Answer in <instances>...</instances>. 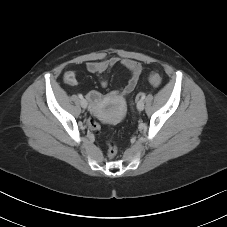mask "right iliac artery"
<instances>
[{
	"instance_id": "obj_1",
	"label": "right iliac artery",
	"mask_w": 227,
	"mask_h": 227,
	"mask_svg": "<svg viewBox=\"0 0 227 227\" xmlns=\"http://www.w3.org/2000/svg\"><path fill=\"white\" fill-rule=\"evenodd\" d=\"M78 97H79L80 99H83V95H82V94H79Z\"/></svg>"
}]
</instances>
